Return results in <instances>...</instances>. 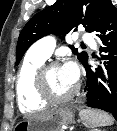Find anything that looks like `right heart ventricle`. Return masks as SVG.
<instances>
[{
	"mask_svg": "<svg viewBox=\"0 0 117 131\" xmlns=\"http://www.w3.org/2000/svg\"><path fill=\"white\" fill-rule=\"evenodd\" d=\"M45 60L28 58L24 60L16 79V96L22 112L44 109L47 102L40 98L36 90V74Z\"/></svg>",
	"mask_w": 117,
	"mask_h": 131,
	"instance_id": "1",
	"label": "right heart ventricle"
}]
</instances>
